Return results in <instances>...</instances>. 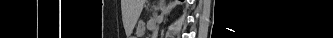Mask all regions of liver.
<instances>
[{
  "mask_svg": "<svg viewBox=\"0 0 333 38\" xmlns=\"http://www.w3.org/2000/svg\"><path fill=\"white\" fill-rule=\"evenodd\" d=\"M145 0H134V6H133V20H137L141 14V11L143 9Z\"/></svg>",
  "mask_w": 333,
  "mask_h": 38,
  "instance_id": "1",
  "label": "liver"
}]
</instances>
